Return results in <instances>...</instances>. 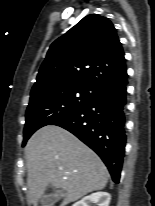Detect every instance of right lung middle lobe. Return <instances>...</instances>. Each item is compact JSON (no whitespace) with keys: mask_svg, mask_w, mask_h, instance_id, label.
I'll use <instances>...</instances> for the list:
<instances>
[{"mask_svg":"<svg viewBox=\"0 0 155 206\" xmlns=\"http://www.w3.org/2000/svg\"><path fill=\"white\" fill-rule=\"evenodd\" d=\"M97 92L88 86L74 85L32 94L26 111L22 146L36 130L71 116L88 104Z\"/></svg>","mask_w":155,"mask_h":206,"instance_id":"dd1d6c3e","label":"right lung middle lobe"}]
</instances>
